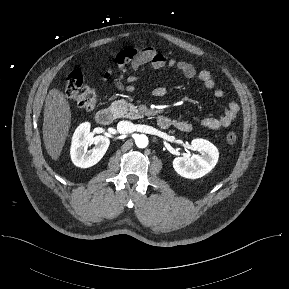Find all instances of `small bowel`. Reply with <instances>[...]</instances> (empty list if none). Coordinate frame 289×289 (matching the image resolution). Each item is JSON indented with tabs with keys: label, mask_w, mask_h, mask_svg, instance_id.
<instances>
[{
	"label": "small bowel",
	"mask_w": 289,
	"mask_h": 289,
	"mask_svg": "<svg viewBox=\"0 0 289 289\" xmlns=\"http://www.w3.org/2000/svg\"><path fill=\"white\" fill-rule=\"evenodd\" d=\"M114 62L120 71L114 79L115 87L119 91L126 90L127 92H133L135 90L134 83L136 82L137 77L133 75L126 77L128 66L135 71L175 68L188 79L197 78L203 84L205 89L212 92L214 98L220 99L224 96V91L216 88L215 80L208 70L197 71L191 63L171 59L166 55L157 52L153 47L123 49L115 55ZM112 74L113 69L109 68L103 74V80L108 81L112 77ZM125 80L127 85L124 83ZM166 93L167 90L163 86L156 87L152 91V94L155 97H163ZM239 110V104L237 102H231L224 114L219 117L204 118L200 121V125L206 129L214 131L226 128L235 120ZM172 125L183 132H188L192 129V125L189 122L180 119L172 120Z\"/></svg>",
	"instance_id": "1"
}]
</instances>
